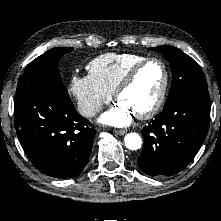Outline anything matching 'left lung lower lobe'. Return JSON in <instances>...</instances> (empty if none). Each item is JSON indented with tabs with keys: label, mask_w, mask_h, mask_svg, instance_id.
Here are the masks:
<instances>
[{
	"label": "left lung lower lobe",
	"mask_w": 221,
	"mask_h": 221,
	"mask_svg": "<svg viewBox=\"0 0 221 221\" xmlns=\"http://www.w3.org/2000/svg\"><path fill=\"white\" fill-rule=\"evenodd\" d=\"M208 90L191 92L165 108L145 126L141 170L151 176L182 171L200 149L209 129Z\"/></svg>",
	"instance_id": "1"
}]
</instances>
